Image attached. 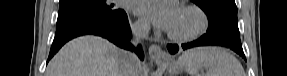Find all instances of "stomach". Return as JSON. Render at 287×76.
I'll return each instance as SVG.
<instances>
[{
	"instance_id": "obj_1",
	"label": "stomach",
	"mask_w": 287,
	"mask_h": 76,
	"mask_svg": "<svg viewBox=\"0 0 287 76\" xmlns=\"http://www.w3.org/2000/svg\"><path fill=\"white\" fill-rule=\"evenodd\" d=\"M157 64L165 67L167 71L171 74V76H176L183 71L184 65L179 61H175L173 59H168L165 62L157 61Z\"/></svg>"
}]
</instances>
